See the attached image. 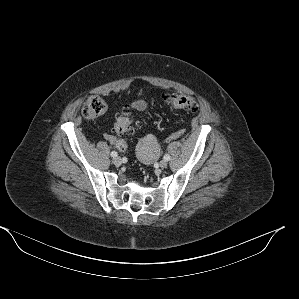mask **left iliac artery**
Listing matches in <instances>:
<instances>
[{
	"mask_svg": "<svg viewBox=\"0 0 299 299\" xmlns=\"http://www.w3.org/2000/svg\"><path fill=\"white\" fill-rule=\"evenodd\" d=\"M164 160L169 161L170 160V156L168 154L164 155Z\"/></svg>",
	"mask_w": 299,
	"mask_h": 299,
	"instance_id": "44dca946",
	"label": "left iliac artery"
}]
</instances>
